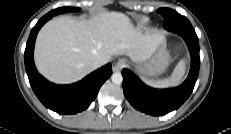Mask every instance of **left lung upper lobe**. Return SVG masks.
<instances>
[{
	"label": "left lung upper lobe",
	"mask_w": 231,
	"mask_h": 134,
	"mask_svg": "<svg viewBox=\"0 0 231 134\" xmlns=\"http://www.w3.org/2000/svg\"><path fill=\"white\" fill-rule=\"evenodd\" d=\"M158 12L164 17V27L166 29H170L173 25H176L178 20L189 22L187 18L180 14H177L178 16H176V11L168 8H160Z\"/></svg>",
	"instance_id": "obj_1"
}]
</instances>
